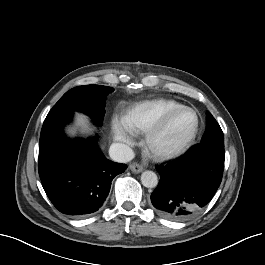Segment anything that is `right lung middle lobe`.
<instances>
[{"label":"right lung middle lobe","instance_id":"obj_1","mask_svg":"<svg viewBox=\"0 0 265 265\" xmlns=\"http://www.w3.org/2000/svg\"><path fill=\"white\" fill-rule=\"evenodd\" d=\"M113 90L101 85L75 87L66 92L48 114L80 111L92 118L94 124L101 126L105 114V101Z\"/></svg>","mask_w":265,"mask_h":265}]
</instances>
